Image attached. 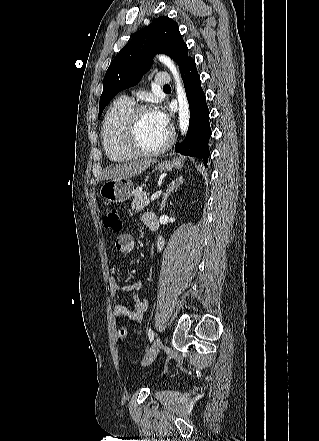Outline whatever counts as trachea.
<instances>
[{"label":"trachea","mask_w":319,"mask_h":441,"mask_svg":"<svg viewBox=\"0 0 319 441\" xmlns=\"http://www.w3.org/2000/svg\"><path fill=\"white\" fill-rule=\"evenodd\" d=\"M169 88H170L169 85H166V86L163 87V89H169Z\"/></svg>","instance_id":"1"}]
</instances>
